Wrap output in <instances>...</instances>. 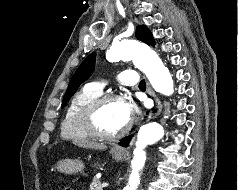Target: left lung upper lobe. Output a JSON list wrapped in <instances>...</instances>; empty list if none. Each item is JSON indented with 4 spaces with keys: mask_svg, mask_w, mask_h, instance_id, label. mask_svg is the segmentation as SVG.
<instances>
[{
    "mask_svg": "<svg viewBox=\"0 0 238 190\" xmlns=\"http://www.w3.org/2000/svg\"><path fill=\"white\" fill-rule=\"evenodd\" d=\"M135 35L138 40L148 45H155L153 35L145 25L137 26ZM95 60H96V53H91L78 67L64 95L61 106L62 108L65 106L68 100L74 95V93L79 88L80 84L83 83L93 73L95 67Z\"/></svg>",
    "mask_w": 238,
    "mask_h": 190,
    "instance_id": "left-lung-upper-lobe-1",
    "label": "left lung upper lobe"
}]
</instances>
